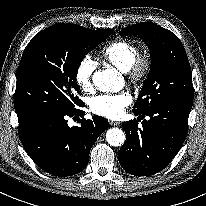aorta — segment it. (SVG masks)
<instances>
[{"label":"aorta","instance_id":"obj_1","mask_svg":"<svg viewBox=\"0 0 206 206\" xmlns=\"http://www.w3.org/2000/svg\"><path fill=\"white\" fill-rule=\"evenodd\" d=\"M120 81L117 72L112 69L97 71L92 76V82L97 89L109 91L114 89ZM106 140L111 146H121L125 141V133L119 128H111L106 132Z\"/></svg>","mask_w":206,"mask_h":206}]
</instances>
